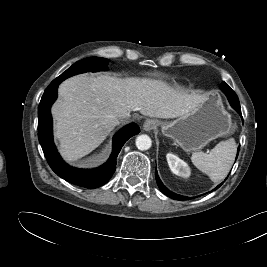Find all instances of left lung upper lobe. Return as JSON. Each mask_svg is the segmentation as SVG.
Listing matches in <instances>:
<instances>
[{"mask_svg":"<svg viewBox=\"0 0 267 267\" xmlns=\"http://www.w3.org/2000/svg\"><path fill=\"white\" fill-rule=\"evenodd\" d=\"M221 86L222 87H224V86L228 87V85L225 82H222Z\"/></svg>","mask_w":267,"mask_h":267,"instance_id":"1","label":"left lung upper lobe"}]
</instances>
